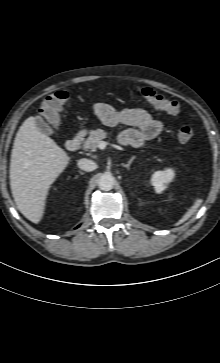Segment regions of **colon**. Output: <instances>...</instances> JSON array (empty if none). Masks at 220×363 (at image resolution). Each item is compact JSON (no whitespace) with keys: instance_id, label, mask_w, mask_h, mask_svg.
<instances>
[{"instance_id":"obj_1","label":"colon","mask_w":220,"mask_h":363,"mask_svg":"<svg viewBox=\"0 0 220 363\" xmlns=\"http://www.w3.org/2000/svg\"><path fill=\"white\" fill-rule=\"evenodd\" d=\"M136 92L152 107L168 114L176 115L180 111V104L173 99L156 92L151 88H136ZM68 99L65 91H56L48 94L41 106V118L50 129H56L60 122L61 112ZM195 131L188 125L178 129V138L181 142H188L194 137Z\"/></svg>"}]
</instances>
